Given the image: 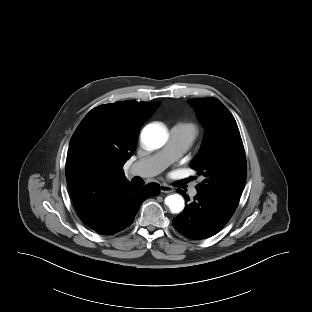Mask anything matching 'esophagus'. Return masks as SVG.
Here are the masks:
<instances>
[{"mask_svg": "<svg viewBox=\"0 0 312 312\" xmlns=\"http://www.w3.org/2000/svg\"><path fill=\"white\" fill-rule=\"evenodd\" d=\"M160 191L162 193H172L173 192V188L169 185H165V184H161L160 185Z\"/></svg>", "mask_w": 312, "mask_h": 312, "instance_id": "obj_1", "label": "esophagus"}]
</instances>
